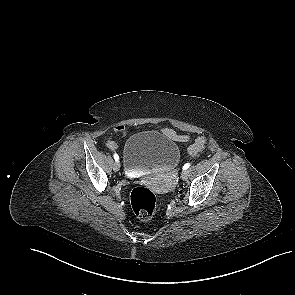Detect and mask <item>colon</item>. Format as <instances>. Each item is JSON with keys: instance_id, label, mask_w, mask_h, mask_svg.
Wrapping results in <instances>:
<instances>
[{"instance_id": "5ec220e1", "label": "colon", "mask_w": 295, "mask_h": 295, "mask_svg": "<svg viewBox=\"0 0 295 295\" xmlns=\"http://www.w3.org/2000/svg\"><path fill=\"white\" fill-rule=\"evenodd\" d=\"M129 201L133 212L141 220L151 219L157 211V197L145 187L133 188L129 193Z\"/></svg>"}]
</instances>
